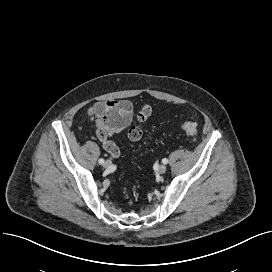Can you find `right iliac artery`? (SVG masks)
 Listing matches in <instances>:
<instances>
[{
  "label": "right iliac artery",
  "instance_id": "right-iliac-artery-1",
  "mask_svg": "<svg viewBox=\"0 0 272 272\" xmlns=\"http://www.w3.org/2000/svg\"><path fill=\"white\" fill-rule=\"evenodd\" d=\"M98 162H99V164H104V159L101 158V159H99Z\"/></svg>",
  "mask_w": 272,
  "mask_h": 272
}]
</instances>
